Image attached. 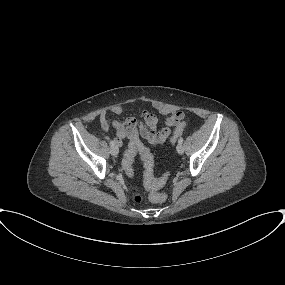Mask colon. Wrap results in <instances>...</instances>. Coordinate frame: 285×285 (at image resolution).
<instances>
[{
    "label": "colon",
    "instance_id": "colon-1",
    "mask_svg": "<svg viewBox=\"0 0 285 285\" xmlns=\"http://www.w3.org/2000/svg\"><path fill=\"white\" fill-rule=\"evenodd\" d=\"M183 128H184V125H182L181 128H178L174 131L170 139L172 143H174L177 140L178 136L182 133ZM137 151H139L142 161H143L145 184L151 185L153 187V190H156L162 187L168 179V174H165L160 178L155 177L154 157L148 148H146L145 146L141 145L138 142H131L124 155L122 165H123L125 172L129 176H132L134 174L133 160H134V157ZM149 198L152 202L156 204H163L166 201V196L159 192H152ZM143 199L144 197L141 193L136 194L135 200L137 202H141Z\"/></svg>",
    "mask_w": 285,
    "mask_h": 285
}]
</instances>
